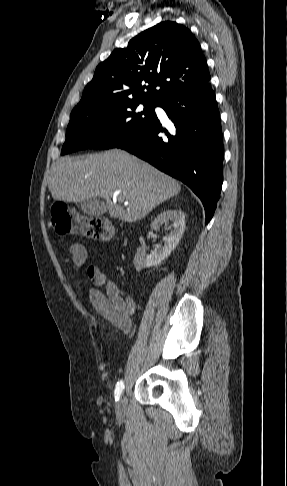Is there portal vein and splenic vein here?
<instances>
[{
    "label": "portal vein and splenic vein",
    "mask_w": 287,
    "mask_h": 486,
    "mask_svg": "<svg viewBox=\"0 0 287 486\" xmlns=\"http://www.w3.org/2000/svg\"><path fill=\"white\" fill-rule=\"evenodd\" d=\"M125 203H126V204H128L129 202H128V201H126Z\"/></svg>",
    "instance_id": "18ae733b"
}]
</instances>
